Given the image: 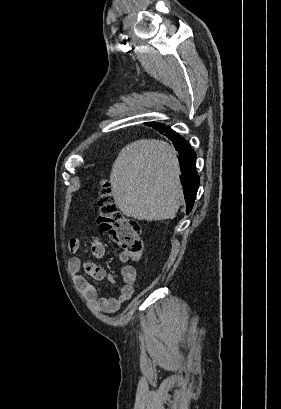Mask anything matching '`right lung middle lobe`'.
<instances>
[{
	"label": "right lung middle lobe",
	"instance_id": "right-lung-middle-lobe-1",
	"mask_svg": "<svg viewBox=\"0 0 281 409\" xmlns=\"http://www.w3.org/2000/svg\"><path fill=\"white\" fill-rule=\"evenodd\" d=\"M147 125L152 126L153 128L162 131L166 128V126L161 125V124H157V123H147Z\"/></svg>",
	"mask_w": 281,
	"mask_h": 409
}]
</instances>
